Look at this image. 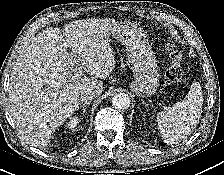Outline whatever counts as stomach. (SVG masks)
<instances>
[{
  "instance_id": "1",
  "label": "stomach",
  "mask_w": 224,
  "mask_h": 175,
  "mask_svg": "<svg viewBox=\"0 0 224 175\" xmlns=\"http://www.w3.org/2000/svg\"><path fill=\"white\" fill-rule=\"evenodd\" d=\"M112 36L127 49V64L134 73L132 91L142 96L154 94L159 86L158 63L143 30L136 24L119 23Z\"/></svg>"
}]
</instances>
